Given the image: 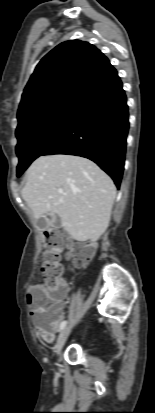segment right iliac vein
<instances>
[{
	"label": "right iliac vein",
	"instance_id": "right-iliac-vein-1",
	"mask_svg": "<svg viewBox=\"0 0 155 413\" xmlns=\"http://www.w3.org/2000/svg\"><path fill=\"white\" fill-rule=\"evenodd\" d=\"M71 329H72V325H68L64 327L62 331L60 332L56 345H55V352L57 355H60L61 350L66 342V339L71 332Z\"/></svg>",
	"mask_w": 155,
	"mask_h": 413
}]
</instances>
